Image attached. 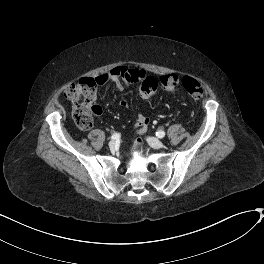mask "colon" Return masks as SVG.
<instances>
[{
  "instance_id": "obj_1",
  "label": "colon",
  "mask_w": 264,
  "mask_h": 264,
  "mask_svg": "<svg viewBox=\"0 0 264 264\" xmlns=\"http://www.w3.org/2000/svg\"><path fill=\"white\" fill-rule=\"evenodd\" d=\"M181 84L194 99H200L204 95V89L200 82L191 76H184ZM159 85L167 92L174 93L179 85L178 76L174 74L164 75L160 78L148 76L140 82L141 97L144 99L152 98ZM63 94L72 103V117L76 125L82 130L90 129L93 126V117L98 113V106L95 103L97 97L96 81L83 78L67 85Z\"/></svg>"
}]
</instances>
